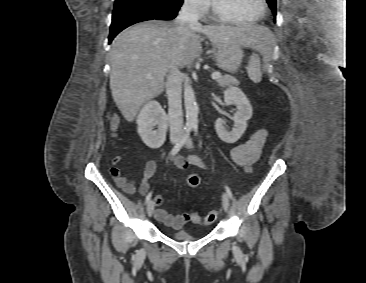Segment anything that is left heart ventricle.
<instances>
[{
	"label": "left heart ventricle",
	"instance_id": "1",
	"mask_svg": "<svg viewBox=\"0 0 366 283\" xmlns=\"http://www.w3.org/2000/svg\"><path fill=\"white\" fill-rule=\"evenodd\" d=\"M217 6L225 14L240 19L249 20L261 11L260 0H215Z\"/></svg>",
	"mask_w": 366,
	"mask_h": 283
}]
</instances>
